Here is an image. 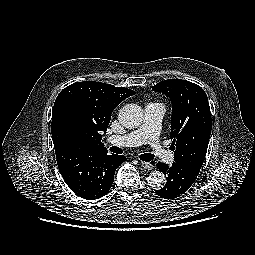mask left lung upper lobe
I'll return each mask as SVG.
<instances>
[{"label": "left lung upper lobe", "instance_id": "1", "mask_svg": "<svg viewBox=\"0 0 255 255\" xmlns=\"http://www.w3.org/2000/svg\"><path fill=\"white\" fill-rule=\"evenodd\" d=\"M171 99V135L175 162L200 171L206 156L212 118L205 91L182 79H168L152 86Z\"/></svg>", "mask_w": 255, "mask_h": 255}]
</instances>
